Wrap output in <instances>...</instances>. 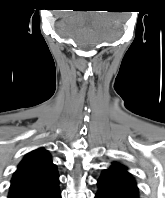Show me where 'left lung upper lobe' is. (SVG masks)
Here are the masks:
<instances>
[{
	"label": "left lung upper lobe",
	"mask_w": 165,
	"mask_h": 198,
	"mask_svg": "<svg viewBox=\"0 0 165 198\" xmlns=\"http://www.w3.org/2000/svg\"><path fill=\"white\" fill-rule=\"evenodd\" d=\"M107 170L116 174L117 176L122 178L124 181L136 186L134 178L127 171V168L125 166H123L119 163H113V165L110 168H108Z\"/></svg>",
	"instance_id": "obj_1"
}]
</instances>
